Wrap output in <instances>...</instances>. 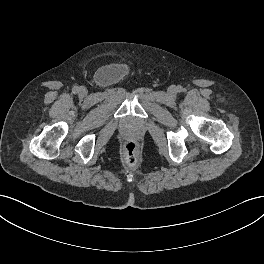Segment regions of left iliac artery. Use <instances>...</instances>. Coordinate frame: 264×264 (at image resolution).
Segmentation results:
<instances>
[{"label":"left iliac artery","instance_id":"1","mask_svg":"<svg viewBox=\"0 0 264 264\" xmlns=\"http://www.w3.org/2000/svg\"><path fill=\"white\" fill-rule=\"evenodd\" d=\"M178 90H179V91H182V87H181V86H179V87H178Z\"/></svg>","mask_w":264,"mask_h":264}]
</instances>
